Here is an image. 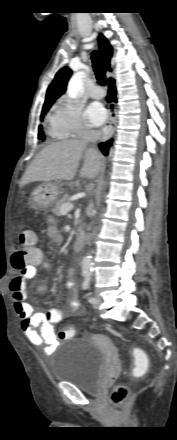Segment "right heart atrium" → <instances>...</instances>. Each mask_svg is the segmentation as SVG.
<instances>
[{
	"instance_id": "obj_1",
	"label": "right heart atrium",
	"mask_w": 177,
	"mask_h": 440,
	"mask_svg": "<svg viewBox=\"0 0 177 440\" xmlns=\"http://www.w3.org/2000/svg\"><path fill=\"white\" fill-rule=\"evenodd\" d=\"M53 117L63 137L82 135L90 130L82 112V105L67 96L58 99L53 107Z\"/></svg>"
}]
</instances>
